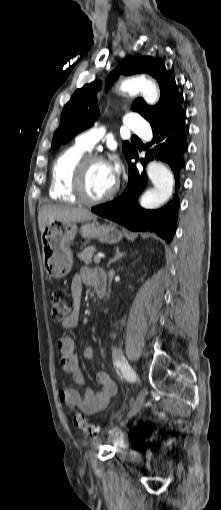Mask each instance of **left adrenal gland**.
<instances>
[{"label": "left adrenal gland", "instance_id": "obj_1", "mask_svg": "<svg viewBox=\"0 0 221 510\" xmlns=\"http://www.w3.org/2000/svg\"><path fill=\"white\" fill-rule=\"evenodd\" d=\"M125 255L124 252H120L119 250V247L116 248V252H115V256L113 259H111L108 264H107V267H109L112 263L116 262L117 260L121 259L123 256Z\"/></svg>", "mask_w": 221, "mask_h": 510}]
</instances>
